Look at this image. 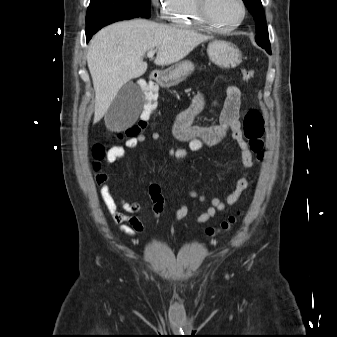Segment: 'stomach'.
I'll return each mask as SVG.
<instances>
[{
	"label": "stomach",
	"mask_w": 337,
	"mask_h": 337,
	"mask_svg": "<svg viewBox=\"0 0 337 337\" xmlns=\"http://www.w3.org/2000/svg\"><path fill=\"white\" fill-rule=\"evenodd\" d=\"M207 53L212 62L222 68H234L241 63V52L233 44L215 40L209 43ZM194 71L191 61H182L161 71L159 81L167 85H175L185 80Z\"/></svg>",
	"instance_id": "0dacf381"
}]
</instances>
